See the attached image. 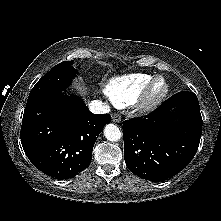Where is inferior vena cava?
Instances as JSON below:
<instances>
[{
	"mask_svg": "<svg viewBox=\"0 0 221 221\" xmlns=\"http://www.w3.org/2000/svg\"><path fill=\"white\" fill-rule=\"evenodd\" d=\"M89 110L94 114H104L110 112V107L102 101L94 100L89 103Z\"/></svg>",
	"mask_w": 221,
	"mask_h": 221,
	"instance_id": "1",
	"label": "inferior vena cava"
}]
</instances>
